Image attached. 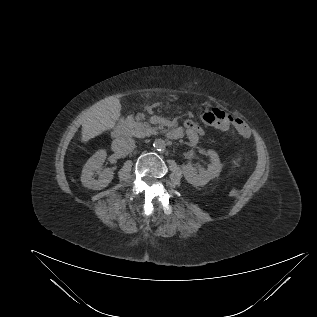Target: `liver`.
Here are the masks:
<instances>
[{"label": "liver", "instance_id": "6515ba94", "mask_svg": "<svg viewBox=\"0 0 317 317\" xmlns=\"http://www.w3.org/2000/svg\"><path fill=\"white\" fill-rule=\"evenodd\" d=\"M121 104L116 96L100 100L83 113L82 142L111 130L120 117Z\"/></svg>", "mask_w": 317, "mask_h": 317}]
</instances>
